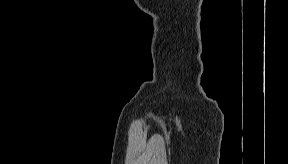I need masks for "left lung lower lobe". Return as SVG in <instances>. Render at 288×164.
I'll return each instance as SVG.
<instances>
[{
	"label": "left lung lower lobe",
	"instance_id": "0a47b994",
	"mask_svg": "<svg viewBox=\"0 0 288 164\" xmlns=\"http://www.w3.org/2000/svg\"><path fill=\"white\" fill-rule=\"evenodd\" d=\"M219 78H223L226 82L224 85L228 84L233 78V72L230 70H225L223 76L221 74H215L210 72L211 87L206 91L207 95L211 98L216 99L215 83Z\"/></svg>",
	"mask_w": 288,
	"mask_h": 164
}]
</instances>
